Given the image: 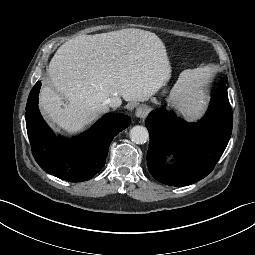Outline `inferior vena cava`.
Masks as SVG:
<instances>
[{
  "label": "inferior vena cava",
  "instance_id": "602c4592",
  "mask_svg": "<svg viewBox=\"0 0 255 255\" xmlns=\"http://www.w3.org/2000/svg\"><path fill=\"white\" fill-rule=\"evenodd\" d=\"M105 103L111 108H118L122 101L118 96H113L108 98Z\"/></svg>",
  "mask_w": 255,
  "mask_h": 255
}]
</instances>
